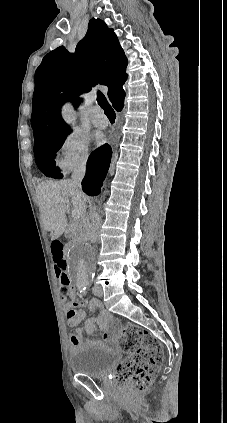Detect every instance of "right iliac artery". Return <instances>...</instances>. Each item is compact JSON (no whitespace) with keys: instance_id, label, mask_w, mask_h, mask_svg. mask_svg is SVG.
<instances>
[{"instance_id":"1","label":"right iliac artery","mask_w":227,"mask_h":423,"mask_svg":"<svg viewBox=\"0 0 227 423\" xmlns=\"http://www.w3.org/2000/svg\"><path fill=\"white\" fill-rule=\"evenodd\" d=\"M86 288H87V285L86 284H82V285L79 286L80 292H84L85 293Z\"/></svg>"}]
</instances>
